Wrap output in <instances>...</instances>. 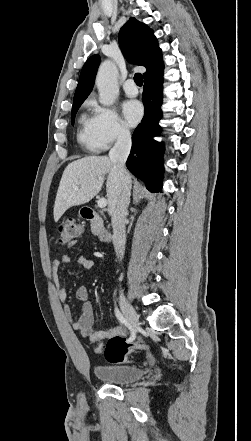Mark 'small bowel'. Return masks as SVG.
<instances>
[{"label":"small bowel","instance_id":"c3829d8e","mask_svg":"<svg viewBox=\"0 0 251 441\" xmlns=\"http://www.w3.org/2000/svg\"><path fill=\"white\" fill-rule=\"evenodd\" d=\"M71 245H75V242H72ZM71 261L72 257L70 255H62L60 259H55L52 261L51 272L58 298L62 303H64V313L72 328L78 331L83 337L88 338L93 344H100L104 339L113 336L123 337L125 335V331L119 326L103 330H95L93 305L89 299L88 291L84 286H80L76 290V298L82 303V307L80 316L77 319H74L71 307L67 303L68 293L59 279L60 266L62 264H68ZM76 263L79 267L86 271L91 270L94 266V262L85 256H79L76 259Z\"/></svg>","mask_w":251,"mask_h":441}]
</instances>
